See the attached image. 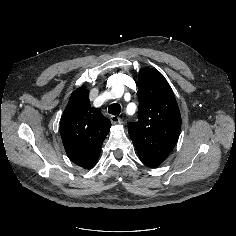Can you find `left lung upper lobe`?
<instances>
[{
  "mask_svg": "<svg viewBox=\"0 0 236 236\" xmlns=\"http://www.w3.org/2000/svg\"><path fill=\"white\" fill-rule=\"evenodd\" d=\"M139 120L129 126V135L139 157L163 162L174 148L181 115L172 89L163 75L145 68L139 74Z\"/></svg>",
  "mask_w": 236,
  "mask_h": 236,
  "instance_id": "5c2ea615",
  "label": "left lung upper lobe"
}]
</instances>
